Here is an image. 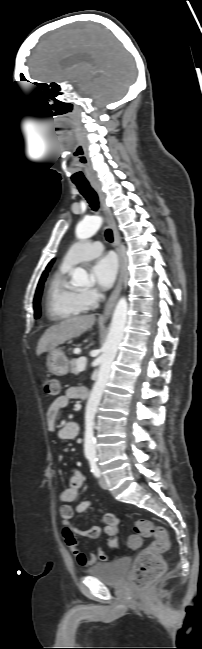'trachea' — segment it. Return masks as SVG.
Segmentation results:
<instances>
[{
  "label": "trachea",
  "instance_id": "3493384b",
  "mask_svg": "<svg viewBox=\"0 0 202 649\" xmlns=\"http://www.w3.org/2000/svg\"><path fill=\"white\" fill-rule=\"evenodd\" d=\"M75 185L77 186L80 193L88 201V203L90 204V207L92 208V210L97 211L98 208H99V200H98L97 193L94 191V189L91 187V185L88 182L75 183ZM105 237H106L108 242H113L112 230L107 229L105 231Z\"/></svg>",
  "mask_w": 202,
  "mask_h": 649
}]
</instances>
